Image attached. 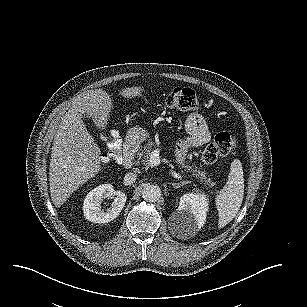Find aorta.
<instances>
[{
    "label": "aorta",
    "instance_id": "aorta-1",
    "mask_svg": "<svg viewBox=\"0 0 307 307\" xmlns=\"http://www.w3.org/2000/svg\"><path fill=\"white\" fill-rule=\"evenodd\" d=\"M161 197L159 186L148 184L142 190V198L147 202H156Z\"/></svg>",
    "mask_w": 307,
    "mask_h": 307
}]
</instances>
